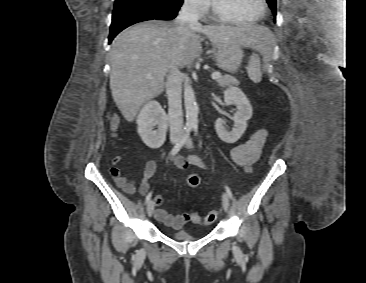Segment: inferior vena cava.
Segmentation results:
<instances>
[{"instance_id":"602c4592","label":"inferior vena cava","mask_w":366,"mask_h":283,"mask_svg":"<svg viewBox=\"0 0 366 283\" xmlns=\"http://www.w3.org/2000/svg\"><path fill=\"white\" fill-rule=\"evenodd\" d=\"M199 11L193 0H185L178 17L175 19L176 30L183 35L188 29L197 26ZM182 74L178 67V60H172V66L167 77L166 93L168 96V118L171 135H179L183 128Z\"/></svg>"}]
</instances>
